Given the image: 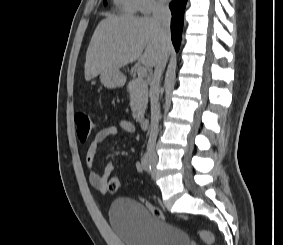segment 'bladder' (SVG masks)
<instances>
[{
    "mask_svg": "<svg viewBox=\"0 0 283 245\" xmlns=\"http://www.w3.org/2000/svg\"><path fill=\"white\" fill-rule=\"evenodd\" d=\"M109 220L125 245H190L184 231L155 217L145 204L134 199L114 200Z\"/></svg>",
    "mask_w": 283,
    "mask_h": 245,
    "instance_id": "31cf9c89",
    "label": "bladder"
}]
</instances>
